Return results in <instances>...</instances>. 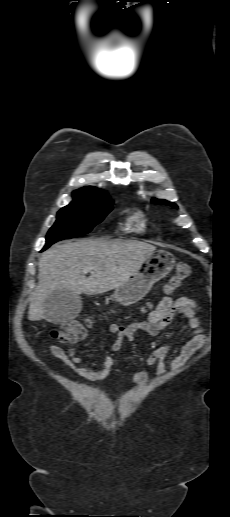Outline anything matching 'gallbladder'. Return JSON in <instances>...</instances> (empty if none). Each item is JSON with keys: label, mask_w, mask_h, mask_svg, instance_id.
<instances>
[{"label": "gallbladder", "mask_w": 230, "mask_h": 517, "mask_svg": "<svg viewBox=\"0 0 230 517\" xmlns=\"http://www.w3.org/2000/svg\"><path fill=\"white\" fill-rule=\"evenodd\" d=\"M44 308L48 321L53 324H61L78 316L82 308V301L74 292L60 289L48 296Z\"/></svg>", "instance_id": "gallbladder-1"}]
</instances>
